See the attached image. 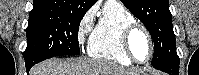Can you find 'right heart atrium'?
Instances as JSON below:
<instances>
[{"instance_id": "d8ad5b80", "label": "right heart atrium", "mask_w": 199, "mask_h": 75, "mask_svg": "<svg viewBox=\"0 0 199 75\" xmlns=\"http://www.w3.org/2000/svg\"><path fill=\"white\" fill-rule=\"evenodd\" d=\"M93 23L94 13L93 11H89L83 16L78 26L77 37L80 45H83L86 41V38L90 35L93 28Z\"/></svg>"}]
</instances>
